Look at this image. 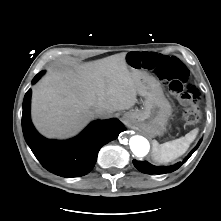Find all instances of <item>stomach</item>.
<instances>
[{
    "label": "stomach",
    "mask_w": 221,
    "mask_h": 221,
    "mask_svg": "<svg viewBox=\"0 0 221 221\" xmlns=\"http://www.w3.org/2000/svg\"><path fill=\"white\" fill-rule=\"evenodd\" d=\"M131 57L132 53H128L126 62L131 71L142 73L131 65ZM140 81L139 94L145 98L143 108L127 112L126 118L150 137L162 135L172 114V106L165 97L161 84L154 77L142 73Z\"/></svg>",
    "instance_id": "1"
}]
</instances>
